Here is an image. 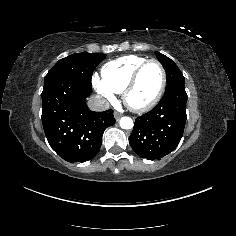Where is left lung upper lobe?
I'll return each mask as SVG.
<instances>
[{"label": "left lung upper lobe", "instance_id": "1", "mask_svg": "<svg viewBox=\"0 0 236 236\" xmlns=\"http://www.w3.org/2000/svg\"><path fill=\"white\" fill-rule=\"evenodd\" d=\"M156 56L166 71V76H167L166 90L178 86L185 87V78L181 73V71L179 70V68L177 67V65L170 58L159 52H156Z\"/></svg>", "mask_w": 236, "mask_h": 236}]
</instances>
